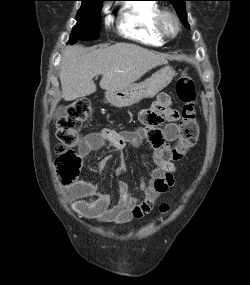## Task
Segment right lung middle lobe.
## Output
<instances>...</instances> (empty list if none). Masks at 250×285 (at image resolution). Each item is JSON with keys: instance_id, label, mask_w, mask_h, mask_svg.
I'll use <instances>...</instances> for the list:
<instances>
[{"instance_id": "1", "label": "right lung middle lobe", "mask_w": 250, "mask_h": 285, "mask_svg": "<svg viewBox=\"0 0 250 285\" xmlns=\"http://www.w3.org/2000/svg\"><path fill=\"white\" fill-rule=\"evenodd\" d=\"M82 6L77 13V25L73 28L70 42L95 40L100 35L102 3L106 0H80Z\"/></svg>"}]
</instances>
